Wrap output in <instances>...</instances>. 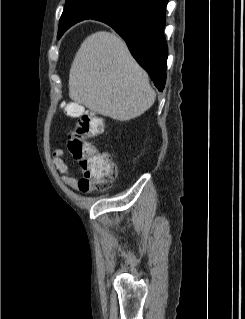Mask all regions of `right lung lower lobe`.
Here are the masks:
<instances>
[{"mask_svg":"<svg viewBox=\"0 0 245 319\" xmlns=\"http://www.w3.org/2000/svg\"><path fill=\"white\" fill-rule=\"evenodd\" d=\"M168 0H127L92 19L110 25L126 42L158 90L166 81L168 48L164 37Z\"/></svg>","mask_w":245,"mask_h":319,"instance_id":"right-lung-lower-lobe-1","label":"right lung lower lobe"}]
</instances>
